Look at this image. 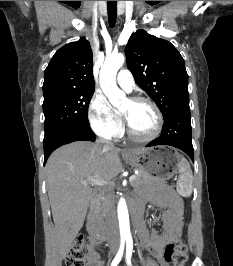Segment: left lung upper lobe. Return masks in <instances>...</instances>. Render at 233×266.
I'll return each mask as SVG.
<instances>
[{"mask_svg":"<svg viewBox=\"0 0 233 266\" xmlns=\"http://www.w3.org/2000/svg\"><path fill=\"white\" fill-rule=\"evenodd\" d=\"M125 54L137 84L154 100L164 118L179 105L189 103L184 60L170 42L138 30L131 35Z\"/></svg>","mask_w":233,"mask_h":266,"instance_id":"5c2ea615","label":"left lung upper lobe"}]
</instances>
